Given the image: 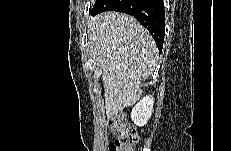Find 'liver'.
Returning a JSON list of instances; mask_svg holds the SVG:
<instances>
[{"label":"liver","mask_w":231,"mask_h":151,"mask_svg":"<svg viewBox=\"0 0 231 151\" xmlns=\"http://www.w3.org/2000/svg\"><path fill=\"white\" fill-rule=\"evenodd\" d=\"M90 55L102 70L106 115L133 105L141 82L157 66V47L149 32L133 17L104 12L88 24Z\"/></svg>","instance_id":"liver-1"}]
</instances>
